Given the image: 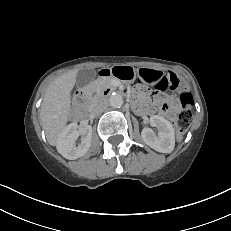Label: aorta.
Segmentation results:
<instances>
[{
    "instance_id": "obj_1",
    "label": "aorta",
    "mask_w": 231,
    "mask_h": 231,
    "mask_svg": "<svg viewBox=\"0 0 231 231\" xmlns=\"http://www.w3.org/2000/svg\"><path fill=\"white\" fill-rule=\"evenodd\" d=\"M109 104L113 108H120L123 105V98L120 94H112L109 98Z\"/></svg>"
}]
</instances>
